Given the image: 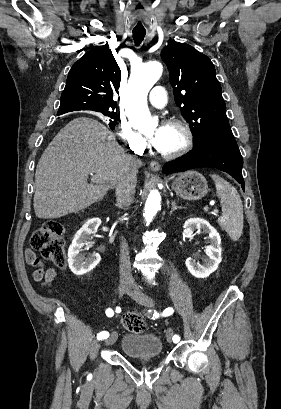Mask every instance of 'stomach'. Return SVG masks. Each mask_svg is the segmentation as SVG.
<instances>
[{"label": "stomach", "mask_w": 281, "mask_h": 409, "mask_svg": "<svg viewBox=\"0 0 281 409\" xmlns=\"http://www.w3.org/2000/svg\"><path fill=\"white\" fill-rule=\"evenodd\" d=\"M172 188L187 200H199L208 192V184L205 176L197 170H186L181 172L172 182Z\"/></svg>", "instance_id": "stomach-1"}]
</instances>
